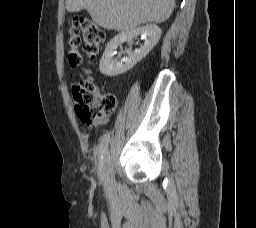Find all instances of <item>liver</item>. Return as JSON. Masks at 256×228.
Masks as SVG:
<instances>
[{
  "instance_id": "1",
  "label": "liver",
  "mask_w": 256,
  "mask_h": 228,
  "mask_svg": "<svg viewBox=\"0 0 256 228\" xmlns=\"http://www.w3.org/2000/svg\"><path fill=\"white\" fill-rule=\"evenodd\" d=\"M175 0H66L68 12L86 10L107 30L127 31L140 24L162 23L172 14Z\"/></svg>"
}]
</instances>
